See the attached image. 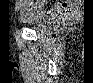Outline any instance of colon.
I'll return each mask as SVG.
<instances>
[{"label":"colon","mask_w":93,"mask_h":83,"mask_svg":"<svg viewBox=\"0 0 93 83\" xmlns=\"http://www.w3.org/2000/svg\"><path fill=\"white\" fill-rule=\"evenodd\" d=\"M22 5L30 3V1L22 0L20 1ZM39 3L38 1H34V4ZM49 3H54L56 7L54 9H43V8H34L31 10H23L26 14H41V13H51V14H61L67 10V6L71 5L72 1H49Z\"/></svg>","instance_id":"colon-1"}]
</instances>
